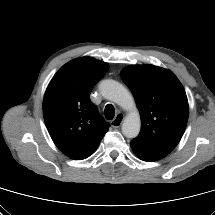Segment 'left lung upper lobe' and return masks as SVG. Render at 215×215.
<instances>
[{
    "mask_svg": "<svg viewBox=\"0 0 215 215\" xmlns=\"http://www.w3.org/2000/svg\"><path fill=\"white\" fill-rule=\"evenodd\" d=\"M141 116V131L131 146L163 158L179 143L188 120L185 90L169 70L154 65H131L121 71Z\"/></svg>",
    "mask_w": 215,
    "mask_h": 215,
    "instance_id": "1",
    "label": "left lung upper lobe"
}]
</instances>
